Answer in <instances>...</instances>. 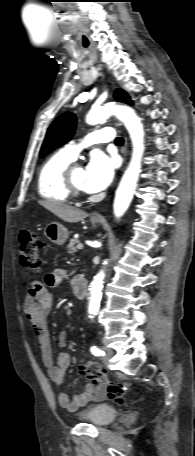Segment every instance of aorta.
Returning <instances> with one entry per match:
<instances>
[{
	"instance_id": "762f6f07",
	"label": "aorta",
	"mask_w": 195,
	"mask_h": 456,
	"mask_svg": "<svg viewBox=\"0 0 195 456\" xmlns=\"http://www.w3.org/2000/svg\"><path fill=\"white\" fill-rule=\"evenodd\" d=\"M111 115H115L124 123L129 132L133 146L129 166L122 176L114 199V214L119 218L126 212L132 201L141 172V159L145 149L144 129L140 118L132 108L113 103L105 104L104 106L91 110L86 117V121L88 124L95 125L106 120ZM104 277L105 273L102 270L92 281L88 307L90 315H95L99 311Z\"/></svg>"
}]
</instances>
